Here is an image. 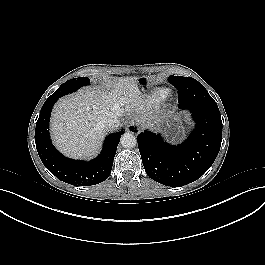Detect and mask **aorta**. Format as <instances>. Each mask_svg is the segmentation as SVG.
Masks as SVG:
<instances>
[{"instance_id": "aorta-1", "label": "aorta", "mask_w": 265, "mask_h": 265, "mask_svg": "<svg viewBox=\"0 0 265 265\" xmlns=\"http://www.w3.org/2000/svg\"><path fill=\"white\" fill-rule=\"evenodd\" d=\"M120 143L124 148L131 149L137 145V139L133 134L125 133L121 136Z\"/></svg>"}]
</instances>
